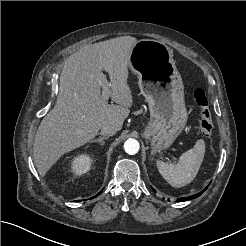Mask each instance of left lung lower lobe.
<instances>
[{
    "label": "left lung lower lobe",
    "mask_w": 246,
    "mask_h": 246,
    "mask_svg": "<svg viewBox=\"0 0 246 246\" xmlns=\"http://www.w3.org/2000/svg\"><path fill=\"white\" fill-rule=\"evenodd\" d=\"M206 189H207V187H206L203 191H201L200 193L195 194V195H193V196L178 198L177 201L183 202V201H187V200H190V199L197 198V197H199Z\"/></svg>",
    "instance_id": "1"
}]
</instances>
